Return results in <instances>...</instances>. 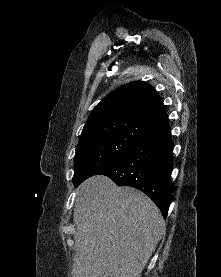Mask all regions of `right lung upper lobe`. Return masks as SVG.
<instances>
[{"instance_id":"1","label":"right lung upper lobe","mask_w":221,"mask_h":277,"mask_svg":"<svg viewBox=\"0 0 221 277\" xmlns=\"http://www.w3.org/2000/svg\"><path fill=\"white\" fill-rule=\"evenodd\" d=\"M162 106V100L152 86L133 81L108 94L93 109L83 131L102 125L139 123L144 115Z\"/></svg>"}]
</instances>
